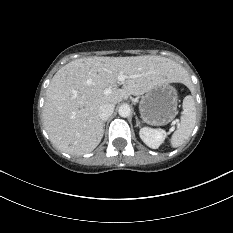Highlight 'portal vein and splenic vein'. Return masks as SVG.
<instances>
[{"label": "portal vein and splenic vein", "mask_w": 233, "mask_h": 233, "mask_svg": "<svg viewBox=\"0 0 233 233\" xmlns=\"http://www.w3.org/2000/svg\"><path fill=\"white\" fill-rule=\"evenodd\" d=\"M126 78H127V77H126L125 75H123V74H119L118 77H117L119 83H123V82L125 81ZM112 90H113L112 87L106 88V89L104 90V94H105V95L111 94V93H112ZM175 124H178V123H175V122H174L173 125H175Z\"/></svg>", "instance_id": "18ae733b"}]
</instances>
